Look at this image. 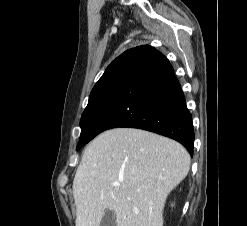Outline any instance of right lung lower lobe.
<instances>
[{
    "instance_id": "right-lung-lower-lobe-1",
    "label": "right lung lower lobe",
    "mask_w": 247,
    "mask_h": 226,
    "mask_svg": "<svg viewBox=\"0 0 247 226\" xmlns=\"http://www.w3.org/2000/svg\"><path fill=\"white\" fill-rule=\"evenodd\" d=\"M117 127L158 133L193 154L192 116L184 94L168 59L151 46L133 48L129 54L89 141Z\"/></svg>"
}]
</instances>
